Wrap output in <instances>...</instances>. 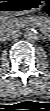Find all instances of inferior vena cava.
<instances>
[{
  "instance_id": "inferior-vena-cava-1",
  "label": "inferior vena cava",
  "mask_w": 50,
  "mask_h": 111,
  "mask_svg": "<svg viewBox=\"0 0 50 111\" xmlns=\"http://www.w3.org/2000/svg\"><path fill=\"white\" fill-rule=\"evenodd\" d=\"M20 34L21 33L19 31H16V30L6 31L2 34V39L11 40V39L20 37Z\"/></svg>"
}]
</instances>
